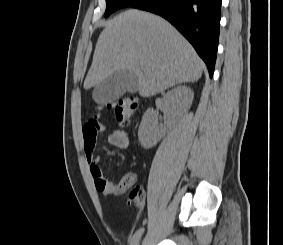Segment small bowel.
Returning a JSON list of instances; mask_svg holds the SVG:
<instances>
[{
	"label": "small bowel",
	"mask_w": 283,
	"mask_h": 245,
	"mask_svg": "<svg viewBox=\"0 0 283 245\" xmlns=\"http://www.w3.org/2000/svg\"><path fill=\"white\" fill-rule=\"evenodd\" d=\"M106 129V126L96 118L89 119L82 129L83 147L96 190L104 196L120 195L126 191L128 184L132 183L135 178L129 175L118 183H112L105 178L99 166L100 157L94 154V149L98 132ZM107 142L113 147L125 150L130 145L129 133L120 129L110 130Z\"/></svg>",
	"instance_id": "c3829d8e"
}]
</instances>
